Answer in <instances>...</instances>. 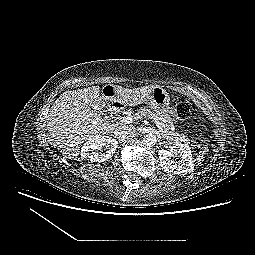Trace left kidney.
Masks as SVG:
<instances>
[{
	"instance_id": "5707ae66",
	"label": "left kidney",
	"mask_w": 255,
	"mask_h": 255,
	"mask_svg": "<svg viewBox=\"0 0 255 255\" xmlns=\"http://www.w3.org/2000/svg\"><path fill=\"white\" fill-rule=\"evenodd\" d=\"M159 163L162 169L168 173L177 175L187 174L194 170V163L190 147L187 144L177 143L169 150H159ZM177 156L179 163H175L171 158Z\"/></svg>"
}]
</instances>
